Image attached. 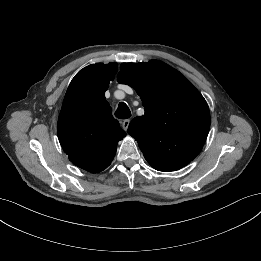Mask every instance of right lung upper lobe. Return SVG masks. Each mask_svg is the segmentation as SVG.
I'll list each match as a JSON object with an SVG mask.
<instances>
[{
  "mask_svg": "<svg viewBox=\"0 0 261 261\" xmlns=\"http://www.w3.org/2000/svg\"><path fill=\"white\" fill-rule=\"evenodd\" d=\"M117 63L91 64L80 70L66 92L58 118V138L69 160L93 173L103 171L126 133L105 99Z\"/></svg>",
  "mask_w": 261,
  "mask_h": 261,
  "instance_id": "cb5924a9",
  "label": "right lung upper lobe"
}]
</instances>
